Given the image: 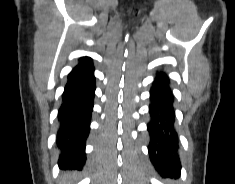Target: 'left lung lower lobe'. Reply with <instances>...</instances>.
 Here are the masks:
<instances>
[{"label": "left lung lower lobe", "instance_id": "0a47b994", "mask_svg": "<svg viewBox=\"0 0 235 184\" xmlns=\"http://www.w3.org/2000/svg\"><path fill=\"white\" fill-rule=\"evenodd\" d=\"M168 77L157 74L150 90V117L147 125L150 134L149 156L152 164L163 176H180L181 163L177 155L178 137L174 130L172 94L168 88Z\"/></svg>", "mask_w": 235, "mask_h": 184}]
</instances>
